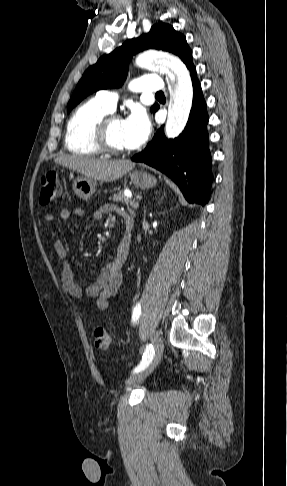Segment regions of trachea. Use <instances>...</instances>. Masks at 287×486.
I'll return each mask as SVG.
<instances>
[{
  "label": "trachea",
  "mask_w": 287,
  "mask_h": 486,
  "mask_svg": "<svg viewBox=\"0 0 287 486\" xmlns=\"http://www.w3.org/2000/svg\"><path fill=\"white\" fill-rule=\"evenodd\" d=\"M156 96H164V93H163L162 91L157 92V93H156Z\"/></svg>",
  "instance_id": "1"
}]
</instances>
